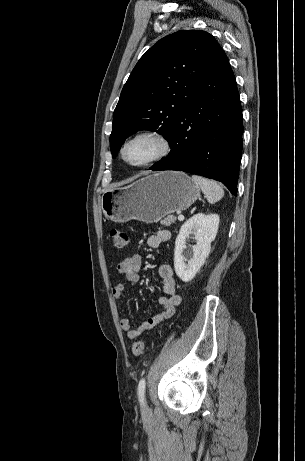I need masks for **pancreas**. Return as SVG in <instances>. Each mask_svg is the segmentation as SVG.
<instances>
[{"label": "pancreas", "mask_w": 305, "mask_h": 461, "mask_svg": "<svg viewBox=\"0 0 305 461\" xmlns=\"http://www.w3.org/2000/svg\"><path fill=\"white\" fill-rule=\"evenodd\" d=\"M176 221V217L173 215H168L166 218L160 221V223L164 226H170Z\"/></svg>", "instance_id": "cf45deb5"}]
</instances>
